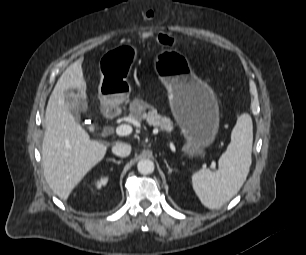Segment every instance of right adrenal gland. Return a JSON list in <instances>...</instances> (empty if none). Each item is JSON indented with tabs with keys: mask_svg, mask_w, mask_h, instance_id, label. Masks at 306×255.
Here are the masks:
<instances>
[{
	"mask_svg": "<svg viewBox=\"0 0 306 255\" xmlns=\"http://www.w3.org/2000/svg\"><path fill=\"white\" fill-rule=\"evenodd\" d=\"M110 161H112V162H114V163H116V164H118V165L121 164V162H122V161H120V160L117 161V160H115L114 158L110 159Z\"/></svg>",
	"mask_w": 306,
	"mask_h": 255,
	"instance_id": "2a0ac1e0",
	"label": "right adrenal gland"
}]
</instances>
